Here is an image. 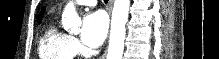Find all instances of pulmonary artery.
<instances>
[{
    "mask_svg": "<svg viewBox=\"0 0 219 59\" xmlns=\"http://www.w3.org/2000/svg\"><path fill=\"white\" fill-rule=\"evenodd\" d=\"M95 3H96L95 0H79L73 2V4L75 5H88V6H93Z\"/></svg>",
    "mask_w": 219,
    "mask_h": 59,
    "instance_id": "e3ab8cb5",
    "label": "pulmonary artery"
}]
</instances>
